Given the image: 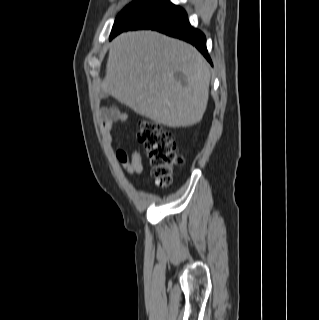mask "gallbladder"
Segmentation results:
<instances>
[{
	"mask_svg": "<svg viewBox=\"0 0 319 320\" xmlns=\"http://www.w3.org/2000/svg\"><path fill=\"white\" fill-rule=\"evenodd\" d=\"M100 95H101L102 98L108 97V93H106L104 91H101Z\"/></svg>",
	"mask_w": 319,
	"mask_h": 320,
	"instance_id": "1",
	"label": "gallbladder"
}]
</instances>
